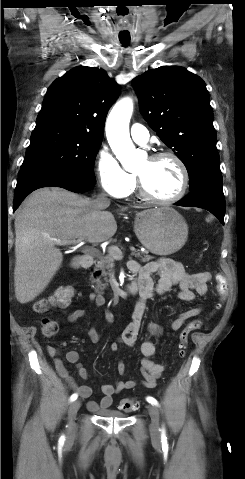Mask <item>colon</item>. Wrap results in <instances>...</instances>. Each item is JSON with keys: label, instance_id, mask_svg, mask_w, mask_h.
Here are the masks:
<instances>
[{"label": "colon", "instance_id": "1", "mask_svg": "<svg viewBox=\"0 0 245 479\" xmlns=\"http://www.w3.org/2000/svg\"><path fill=\"white\" fill-rule=\"evenodd\" d=\"M217 294L221 301L227 297V288L221 277H219L217 286ZM74 290L69 285L59 286L54 293L48 298H42L35 303L34 309L38 313L46 312L51 308H67L73 301ZM220 306V303L217 305ZM204 324L202 319L190 321L181 331L179 335V354L183 356L189 343V337L192 332L200 329ZM42 333L45 336H53L58 332L59 325L55 319L45 317L41 321ZM139 403L134 399L125 398L119 403V409L123 412H132L137 409Z\"/></svg>", "mask_w": 245, "mask_h": 479}]
</instances>
